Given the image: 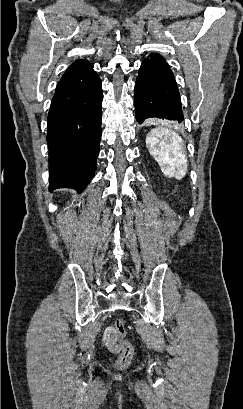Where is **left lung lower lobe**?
<instances>
[{"label":"left lung lower lobe","mask_w":243,"mask_h":409,"mask_svg":"<svg viewBox=\"0 0 243 409\" xmlns=\"http://www.w3.org/2000/svg\"><path fill=\"white\" fill-rule=\"evenodd\" d=\"M134 97L139 124L154 117L178 123L184 120L178 87L167 64L145 59L139 69Z\"/></svg>","instance_id":"obj_1"}]
</instances>
